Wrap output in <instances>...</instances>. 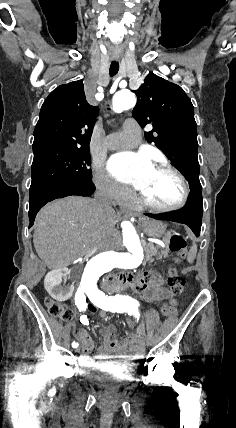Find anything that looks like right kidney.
<instances>
[{
  "mask_svg": "<svg viewBox=\"0 0 236 428\" xmlns=\"http://www.w3.org/2000/svg\"><path fill=\"white\" fill-rule=\"evenodd\" d=\"M64 269H46L43 283L48 286V291L51 292L52 301H69L71 292L73 291L72 283H61L65 277Z\"/></svg>",
  "mask_w": 236,
  "mask_h": 428,
  "instance_id": "obj_1",
  "label": "right kidney"
}]
</instances>
